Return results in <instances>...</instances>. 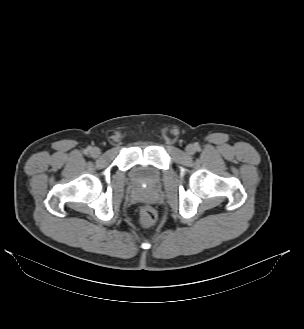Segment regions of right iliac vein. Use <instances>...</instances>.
Here are the masks:
<instances>
[{"instance_id":"63e3f726","label":"right iliac vein","mask_w":304,"mask_h":329,"mask_svg":"<svg viewBox=\"0 0 304 329\" xmlns=\"http://www.w3.org/2000/svg\"><path fill=\"white\" fill-rule=\"evenodd\" d=\"M90 154H91L92 157L96 158V157H98L101 154V151H100L99 148L93 147L90 150Z\"/></svg>"}]
</instances>
